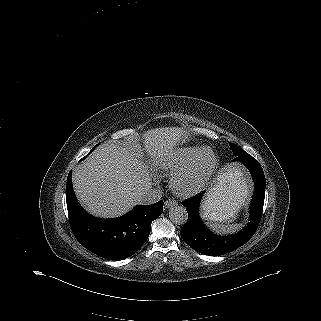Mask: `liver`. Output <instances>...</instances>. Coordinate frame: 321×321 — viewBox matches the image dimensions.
Instances as JSON below:
<instances>
[{"label":"liver","instance_id":"1","mask_svg":"<svg viewBox=\"0 0 321 321\" xmlns=\"http://www.w3.org/2000/svg\"><path fill=\"white\" fill-rule=\"evenodd\" d=\"M187 136L183 128H157L143 135V144L150 152H161ZM72 183L79 202L86 210L103 218L125 214L140 204V197L152 186L140 159L118 143L99 147L77 165ZM221 201L220 197L210 202L218 204Z\"/></svg>","mask_w":321,"mask_h":321}]
</instances>
